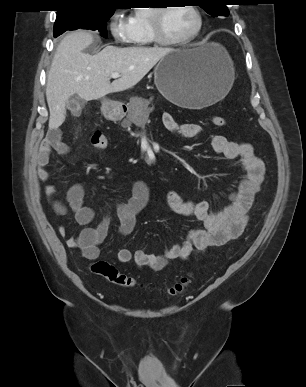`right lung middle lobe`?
Masks as SVG:
<instances>
[{
	"instance_id": "1",
	"label": "right lung middle lobe",
	"mask_w": 306,
	"mask_h": 387,
	"mask_svg": "<svg viewBox=\"0 0 306 387\" xmlns=\"http://www.w3.org/2000/svg\"><path fill=\"white\" fill-rule=\"evenodd\" d=\"M115 10H71L57 14L54 25V37H57L67 30L90 29L97 30L106 38V22L113 15Z\"/></svg>"
}]
</instances>
